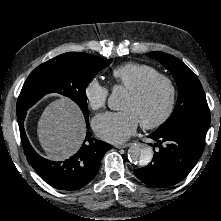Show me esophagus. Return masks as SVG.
Returning <instances> with one entry per match:
<instances>
[{
    "label": "esophagus",
    "instance_id": "obj_1",
    "mask_svg": "<svg viewBox=\"0 0 221 221\" xmlns=\"http://www.w3.org/2000/svg\"><path fill=\"white\" fill-rule=\"evenodd\" d=\"M131 145H132V143L116 144L115 147L118 148V149H121V148H127Z\"/></svg>",
    "mask_w": 221,
    "mask_h": 221
}]
</instances>
